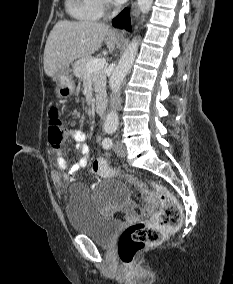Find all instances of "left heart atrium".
I'll return each mask as SVG.
<instances>
[{
  "label": "left heart atrium",
  "instance_id": "obj_1",
  "mask_svg": "<svg viewBox=\"0 0 233 284\" xmlns=\"http://www.w3.org/2000/svg\"><path fill=\"white\" fill-rule=\"evenodd\" d=\"M117 1H119V2H124V1H126V0H117Z\"/></svg>",
  "mask_w": 233,
  "mask_h": 284
}]
</instances>
